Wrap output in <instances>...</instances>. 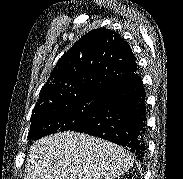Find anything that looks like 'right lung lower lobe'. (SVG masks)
I'll return each mask as SVG.
<instances>
[{"label": "right lung lower lobe", "mask_w": 183, "mask_h": 179, "mask_svg": "<svg viewBox=\"0 0 183 179\" xmlns=\"http://www.w3.org/2000/svg\"><path fill=\"white\" fill-rule=\"evenodd\" d=\"M145 97L138 71L115 81L103 91L94 116L76 132L114 142L142 161L147 133Z\"/></svg>", "instance_id": "98d812e1"}]
</instances>
